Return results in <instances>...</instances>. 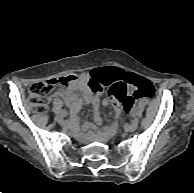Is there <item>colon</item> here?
I'll use <instances>...</instances> for the list:
<instances>
[{
    "instance_id": "1",
    "label": "colon",
    "mask_w": 194,
    "mask_h": 193,
    "mask_svg": "<svg viewBox=\"0 0 194 193\" xmlns=\"http://www.w3.org/2000/svg\"><path fill=\"white\" fill-rule=\"evenodd\" d=\"M77 82L78 77L76 75L35 82L29 88V102L36 111L45 112L50 100V94L53 90L57 88H73L77 85ZM147 84L145 80L139 79L133 74H125L121 79H114L104 84L91 82L90 88L96 94L102 90V85L107 86L111 100L129 109L135 95L129 93L128 85H138L140 88H144Z\"/></svg>"
}]
</instances>
